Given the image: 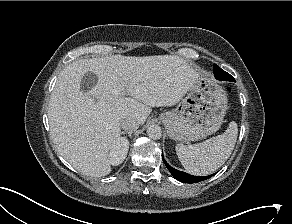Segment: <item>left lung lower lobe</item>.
I'll return each instance as SVG.
<instances>
[{"label":"left lung lower lobe","mask_w":292,"mask_h":224,"mask_svg":"<svg viewBox=\"0 0 292 224\" xmlns=\"http://www.w3.org/2000/svg\"><path fill=\"white\" fill-rule=\"evenodd\" d=\"M224 74H226L229 77L233 78L231 75H229L228 73H226L222 69L220 71H216L215 72V77L217 79H219V80H221V79L222 80H228V78H225V75ZM163 162L165 163L166 167L168 168V170L170 171V173L172 174V176L176 180H178L180 182H183V183H189V184H191V183H197V182L206 180V179H208V178H210L212 176V175H209V176H193V175H190L188 173L179 171V170L171 167L170 165L167 164V162L164 159H163Z\"/></svg>","instance_id":"1"}]
</instances>
